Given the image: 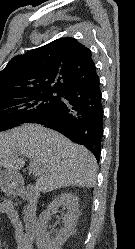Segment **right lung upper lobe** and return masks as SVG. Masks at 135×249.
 <instances>
[{
  "label": "right lung upper lobe",
  "mask_w": 135,
  "mask_h": 249,
  "mask_svg": "<svg viewBox=\"0 0 135 249\" xmlns=\"http://www.w3.org/2000/svg\"><path fill=\"white\" fill-rule=\"evenodd\" d=\"M95 77L90 49L75 38H61L12 58L0 71V98L35 91L63 92Z\"/></svg>",
  "instance_id": "obj_1"
}]
</instances>
